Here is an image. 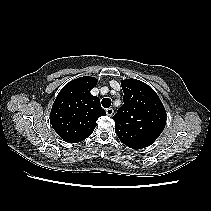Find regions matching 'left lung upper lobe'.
I'll use <instances>...</instances> for the list:
<instances>
[{
  "label": "left lung upper lobe",
  "mask_w": 211,
  "mask_h": 211,
  "mask_svg": "<svg viewBox=\"0 0 211 211\" xmlns=\"http://www.w3.org/2000/svg\"><path fill=\"white\" fill-rule=\"evenodd\" d=\"M124 104L113 116L118 138L132 149L150 146L162 133L166 111L156 92L136 79L121 81Z\"/></svg>",
  "instance_id": "obj_1"
}]
</instances>
